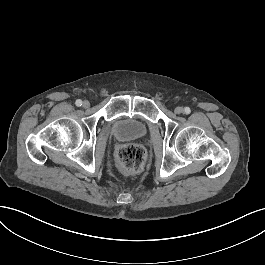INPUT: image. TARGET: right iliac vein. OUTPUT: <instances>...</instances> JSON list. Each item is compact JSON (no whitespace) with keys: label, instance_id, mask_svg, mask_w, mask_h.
<instances>
[{"label":"right iliac vein","instance_id":"1","mask_svg":"<svg viewBox=\"0 0 265 265\" xmlns=\"http://www.w3.org/2000/svg\"><path fill=\"white\" fill-rule=\"evenodd\" d=\"M90 106V103L88 101L83 102V107L88 108Z\"/></svg>","mask_w":265,"mask_h":265}]
</instances>
